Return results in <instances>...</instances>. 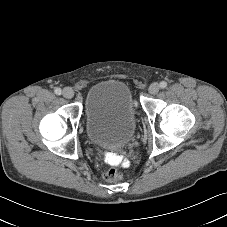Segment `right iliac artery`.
<instances>
[{"instance_id": "obj_1", "label": "right iliac artery", "mask_w": 227, "mask_h": 227, "mask_svg": "<svg viewBox=\"0 0 227 227\" xmlns=\"http://www.w3.org/2000/svg\"><path fill=\"white\" fill-rule=\"evenodd\" d=\"M54 92L56 95H61L62 90L60 88H56Z\"/></svg>"}]
</instances>
